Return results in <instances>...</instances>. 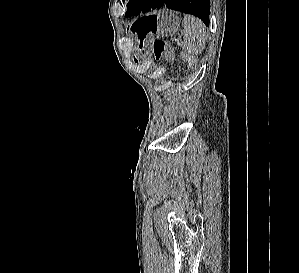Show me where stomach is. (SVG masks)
I'll list each match as a JSON object with an SVG mask.
<instances>
[{"label":"stomach","mask_w":299,"mask_h":273,"mask_svg":"<svg viewBox=\"0 0 299 273\" xmlns=\"http://www.w3.org/2000/svg\"><path fill=\"white\" fill-rule=\"evenodd\" d=\"M179 28L178 18L170 12H155L138 19L132 25V32L137 35V47L140 53H148L156 36H169Z\"/></svg>","instance_id":"obj_1"}]
</instances>
